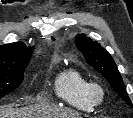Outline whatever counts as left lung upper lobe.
Here are the masks:
<instances>
[{
	"instance_id": "obj_1",
	"label": "left lung upper lobe",
	"mask_w": 133,
	"mask_h": 118,
	"mask_svg": "<svg viewBox=\"0 0 133 118\" xmlns=\"http://www.w3.org/2000/svg\"><path fill=\"white\" fill-rule=\"evenodd\" d=\"M76 45L86 61L100 72L118 95L133 108L126 92L122 77L111 55L96 41L79 34L75 37Z\"/></svg>"
}]
</instances>
